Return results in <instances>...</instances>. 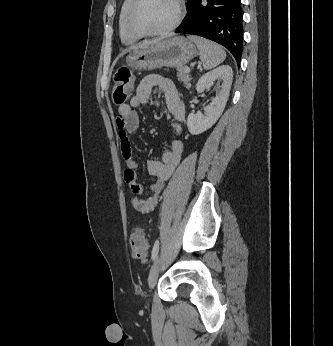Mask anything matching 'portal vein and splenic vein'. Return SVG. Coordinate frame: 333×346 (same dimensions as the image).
<instances>
[{
  "label": "portal vein and splenic vein",
  "instance_id": "portal-vein-and-splenic-vein-1",
  "mask_svg": "<svg viewBox=\"0 0 333 346\" xmlns=\"http://www.w3.org/2000/svg\"><path fill=\"white\" fill-rule=\"evenodd\" d=\"M184 71H185V73H190V68L186 67Z\"/></svg>",
  "mask_w": 333,
  "mask_h": 346
}]
</instances>
